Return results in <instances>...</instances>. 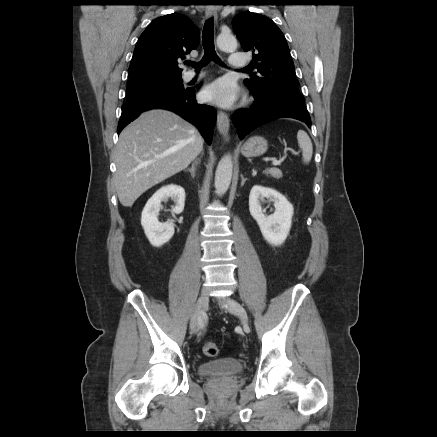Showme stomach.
I'll list each match as a JSON object with an SVG mask.
<instances>
[{"mask_svg":"<svg viewBox=\"0 0 437 437\" xmlns=\"http://www.w3.org/2000/svg\"><path fill=\"white\" fill-rule=\"evenodd\" d=\"M268 142L261 136L249 138L242 146L241 153L247 158L258 157L266 153Z\"/></svg>","mask_w":437,"mask_h":437,"instance_id":"obj_1","label":"stomach"}]
</instances>
